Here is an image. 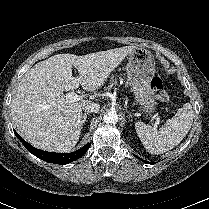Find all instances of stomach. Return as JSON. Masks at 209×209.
<instances>
[{"label": "stomach", "instance_id": "obj_1", "mask_svg": "<svg viewBox=\"0 0 209 209\" xmlns=\"http://www.w3.org/2000/svg\"><path fill=\"white\" fill-rule=\"evenodd\" d=\"M126 72L136 104L140 105V110L151 114L157 104L150 85L155 74L154 56L150 51L136 47L129 54Z\"/></svg>", "mask_w": 209, "mask_h": 209}]
</instances>
